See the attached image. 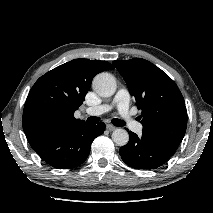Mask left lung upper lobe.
I'll return each instance as SVG.
<instances>
[{
    "label": "left lung upper lobe",
    "instance_id": "obj_1",
    "mask_svg": "<svg viewBox=\"0 0 213 213\" xmlns=\"http://www.w3.org/2000/svg\"><path fill=\"white\" fill-rule=\"evenodd\" d=\"M137 107L143 132L179 145L187 127L184 98L175 82L151 62L134 58L113 61Z\"/></svg>",
    "mask_w": 213,
    "mask_h": 213
}]
</instances>
